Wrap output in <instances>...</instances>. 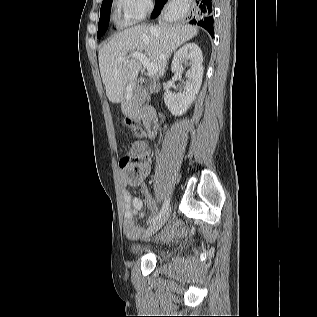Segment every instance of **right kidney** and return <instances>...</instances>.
Here are the masks:
<instances>
[{"label":"right kidney","mask_w":317,"mask_h":317,"mask_svg":"<svg viewBox=\"0 0 317 317\" xmlns=\"http://www.w3.org/2000/svg\"><path fill=\"white\" fill-rule=\"evenodd\" d=\"M190 65L186 73L185 91L183 93H164V102L172 115L181 116L191 106L198 94L203 78L204 68L202 66V51L195 43H188L182 46L173 57L172 72L182 74L183 66Z\"/></svg>","instance_id":"ca27d5eb"}]
</instances>
